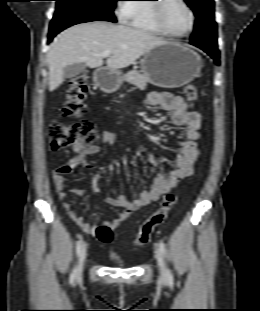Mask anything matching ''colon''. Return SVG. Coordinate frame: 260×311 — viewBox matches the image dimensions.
<instances>
[{
	"mask_svg": "<svg viewBox=\"0 0 260 311\" xmlns=\"http://www.w3.org/2000/svg\"><path fill=\"white\" fill-rule=\"evenodd\" d=\"M88 90V78L81 74L71 79L66 90L65 102L61 108L63 118L80 117L86 110L84 97ZM185 95L189 101H196L198 90L195 85L185 87ZM50 150L61 151L70 147L87 148L95 145L98 134L93 123L87 119L75 122L54 120L49 127ZM179 195L176 192L167 193L158 209L145 220L136 235L134 246L141 247L148 243L154 229L165 222L171 209L176 205ZM95 236L103 243H110L113 238V229L107 224L99 225Z\"/></svg>",
	"mask_w": 260,
	"mask_h": 311,
	"instance_id": "5ec220e1",
	"label": "colon"
}]
</instances>
